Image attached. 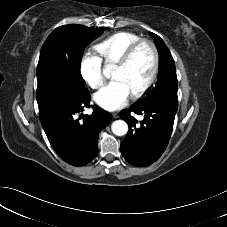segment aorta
Returning a JSON list of instances; mask_svg holds the SVG:
<instances>
[{"label": "aorta", "instance_id": "1", "mask_svg": "<svg viewBox=\"0 0 227 227\" xmlns=\"http://www.w3.org/2000/svg\"><path fill=\"white\" fill-rule=\"evenodd\" d=\"M111 130L116 136H123L128 132V125L123 120H116L112 123Z\"/></svg>", "mask_w": 227, "mask_h": 227}]
</instances>
